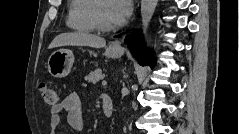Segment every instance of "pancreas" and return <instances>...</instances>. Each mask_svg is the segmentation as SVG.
Here are the masks:
<instances>
[{"instance_id":"cf45deb5","label":"pancreas","mask_w":239,"mask_h":134,"mask_svg":"<svg viewBox=\"0 0 239 134\" xmlns=\"http://www.w3.org/2000/svg\"><path fill=\"white\" fill-rule=\"evenodd\" d=\"M103 76L102 70L98 68L95 71L90 72V74L85 77V80L95 84L101 80Z\"/></svg>"}]
</instances>
